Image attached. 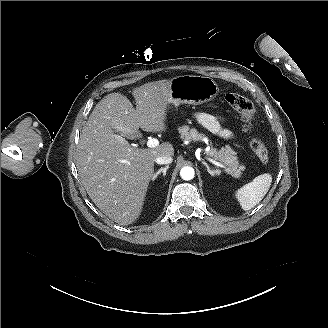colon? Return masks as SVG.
<instances>
[{
    "mask_svg": "<svg viewBox=\"0 0 328 328\" xmlns=\"http://www.w3.org/2000/svg\"><path fill=\"white\" fill-rule=\"evenodd\" d=\"M226 102L239 113L243 130L250 136V149L253 154L263 163L269 160V151L262 141L253 134L255 109L253 103L245 96L237 93H228L225 96Z\"/></svg>",
    "mask_w": 328,
    "mask_h": 328,
    "instance_id": "obj_1",
    "label": "colon"
}]
</instances>
